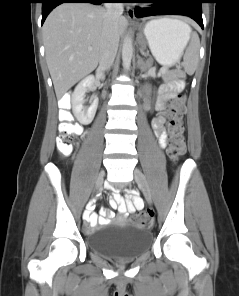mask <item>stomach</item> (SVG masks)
I'll list each match as a JSON object with an SVG mask.
<instances>
[{
  "label": "stomach",
  "mask_w": 239,
  "mask_h": 296,
  "mask_svg": "<svg viewBox=\"0 0 239 296\" xmlns=\"http://www.w3.org/2000/svg\"><path fill=\"white\" fill-rule=\"evenodd\" d=\"M140 36L146 37L153 56L165 66H172L180 59L189 39L185 23L166 17L146 23Z\"/></svg>",
  "instance_id": "obj_1"
}]
</instances>
